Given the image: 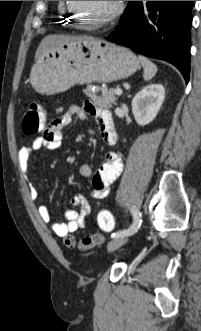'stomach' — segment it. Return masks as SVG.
Listing matches in <instances>:
<instances>
[{
    "instance_id": "stomach-1",
    "label": "stomach",
    "mask_w": 201,
    "mask_h": 331,
    "mask_svg": "<svg viewBox=\"0 0 201 331\" xmlns=\"http://www.w3.org/2000/svg\"><path fill=\"white\" fill-rule=\"evenodd\" d=\"M139 68V59L128 48L88 38L50 48L36 60L30 79L38 93L53 95L75 84L125 79Z\"/></svg>"
}]
</instances>
